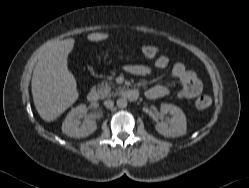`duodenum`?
I'll return each mask as SVG.
<instances>
[{
	"mask_svg": "<svg viewBox=\"0 0 249 188\" xmlns=\"http://www.w3.org/2000/svg\"><path fill=\"white\" fill-rule=\"evenodd\" d=\"M123 96L128 100H135L138 97V91L135 89H128L123 92ZM87 99L90 103H95L99 99V93L96 90H92L88 93Z\"/></svg>",
	"mask_w": 249,
	"mask_h": 188,
	"instance_id": "obj_1",
	"label": "duodenum"
}]
</instances>
